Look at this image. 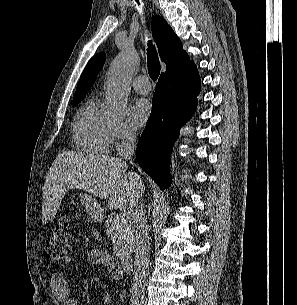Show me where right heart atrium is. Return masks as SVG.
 <instances>
[{
    "instance_id": "1",
    "label": "right heart atrium",
    "mask_w": 297,
    "mask_h": 305,
    "mask_svg": "<svg viewBox=\"0 0 297 305\" xmlns=\"http://www.w3.org/2000/svg\"><path fill=\"white\" fill-rule=\"evenodd\" d=\"M112 141L117 148L125 147L136 138V131L125 119L112 117L110 122Z\"/></svg>"
}]
</instances>
